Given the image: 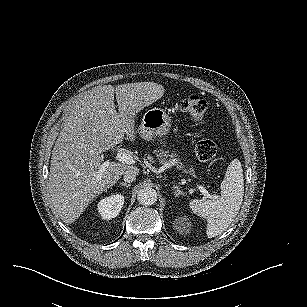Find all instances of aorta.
Listing matches in <instances>:
<instances>
[{
  "label": "aorta",
  "instance_id": "obj_1",
  "mask_svg": "<svg viewBox=\"0 0 307 307\" xmlns=\"http://www.w3.org/2000/svg\"><path fill=\"white\" fill-rule=\"evenodd\" d=\"M157 191L151 186H146L138 192V202L141 205L150 206L157 201Z\"/></svg>",
  "mask_w": 307,
  "mask_h": 307
}]
</instances>
